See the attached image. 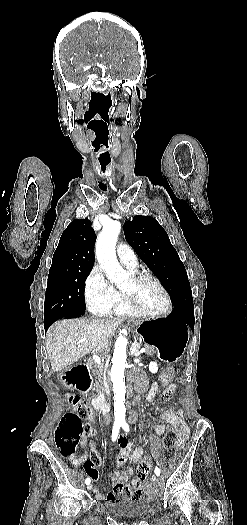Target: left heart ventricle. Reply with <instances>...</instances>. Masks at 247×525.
<instances>
[{
    "label": "left heart ventricle",
    "instance_id": "b2bd125f",
    "mask_svg": "<svg viewBox=\"0 0 247 525\" xmlns=\"http://www.w3.org/2000/svg\"><path fill=\"white\" fill-rule=\"evenodd\" d=\"M122 290L136 295L149 310L156 311L165 305L163 292L151 279L145 278L136 282L131 277L123 286Z\"/></svg>",
    "mask_w": 247,
    "mask_h": 525
}]
</instances>
